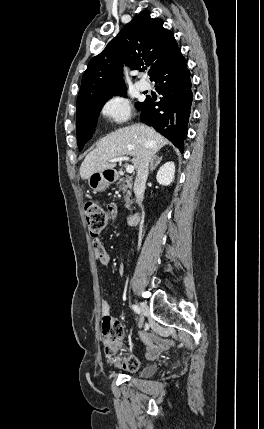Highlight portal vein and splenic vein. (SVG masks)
I'll return each mask as SVG.
<instances>
[{
  "label": "portal vein and splenic vein",
  "mask_w": 264,
  "mask_h": 429,
  "mask_svg": "<svg viewBox=\"0 0 264 429\" xmlns=\"http://www.w3.org/2000/svg\"><path fill=\"white\" fill-rule=\"evenodd\" d=\"M128 159H129V157L121 156V157H116V158L112 159V160H111V162H119V161H122V160H128ZM126 171H127V173H132V172H134V166H132V165H128V166L126 167Z\"/></svg>",
  "instance_id": "obj_1"
}]
</instances>
